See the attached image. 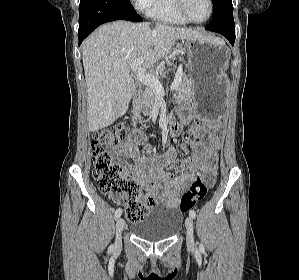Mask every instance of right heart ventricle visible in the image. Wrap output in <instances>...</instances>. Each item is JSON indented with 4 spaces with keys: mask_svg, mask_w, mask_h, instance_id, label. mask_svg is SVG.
<instances>
[{
    "mask_svg": "<svg viewBox=\"0 0 299 280\" xmlns=\"http://www.w3.org/2000/svg\"><path fill=\"white\" fill-rule=\"evenodd\" d=\"M147 14L151 18L164 23L176 25L189 23L176 10L174 0H153Z\"/></svg>",
    "mask_w": 299,
    "mask_h": 280,
    "instance_id": "1",
    "label": "right heart ventricle"
}]
</instances>
